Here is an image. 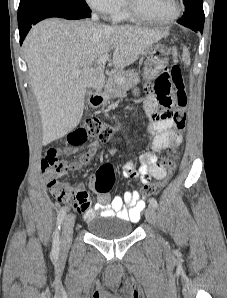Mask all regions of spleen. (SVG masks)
Wrapping results in <instances>:
<instances>
[{
    "label": "spleen",
    "instance_id": "obj_1",
    "mask_svg": "<svg viewBox=\"0 0 227 298\" xmlns=\"http://www.w3.org/2000/svg\"><path fill=\"white\" fill-rule=\"evenodd\" d=\"M182 60L186 65H190V54L186 47L183 49Z\"/></svg>",
    "mask_w": 227,
    "mask_h": 298
}]
</instances>
